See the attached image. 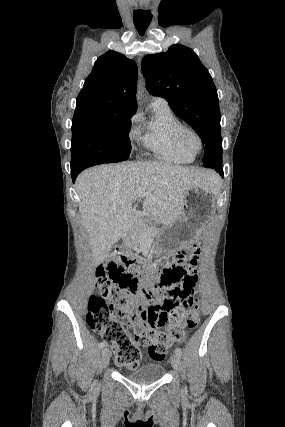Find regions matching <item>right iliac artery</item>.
<instances>
[{"mask_svg": "<svg viewBox=\"0 0 285 427\" xmlns=\"http://www.w3.org/2000/svg\"><path fill=\"white\" fill-rule=\"evenodd\" d=\"M105 345H106V342H105V340H104V341H102V342L99 344V348H100V349H103V348L105 347Z\"/></svg>", "mask_w": 285, "mask_h": 427, "instance_id": "82829eb1", "label": "right iliac artery"}]
</instances>
